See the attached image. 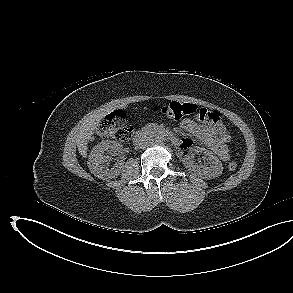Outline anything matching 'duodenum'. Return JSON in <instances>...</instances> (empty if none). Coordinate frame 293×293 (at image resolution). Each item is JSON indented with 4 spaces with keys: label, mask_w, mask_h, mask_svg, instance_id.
I'll list each match as a JSON object with an SVG mask.
<instances>
[{
    "label": "duodenum",
    "mask_w": 293,
    "mask_h": 293,
    "mask_svg": "<svg viewBox=\"0 0 293 293\" xmlns=\"http://www.w3.org/2000/svg\"><path fill=\"white\" fill-rule=\"evenodd\" d=\"M151 134H157L169 139L173 144L178 147H181L180 142L178 141L177 137L169 130L164 128H155V127H148L141 131H138L132 138V142L135 146H138L142 143V141Z\"/></svg>",
    "instance_id": "duodenum-1"
}]
</instances>
